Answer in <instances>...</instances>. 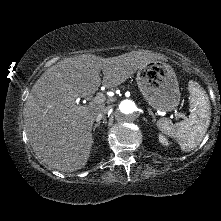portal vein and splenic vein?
Returning <instances> with one entry per match:
<instances>
[{
  "instance_id": "portal-vein-and-splenic-vein-1",
  "label": "portal vein and splenic vein",
  "mask_w": 221,
  "mask_h": 221,
  "mask_svg": "<svg viewBox=\"0 0 221 221\" xmlns=\"http://www.w3.org/2000/svg\"><path fill=\"white\" fill-rule=\"evenodd\" d=\"M105 101H106L105 95L100 93L94 98L93 104H101V103H104ZM175 116L178 118H183V119L186 118L184 114L178 113V112H175Z\"/></svg>"
}]
</instances>
